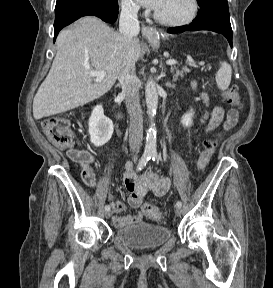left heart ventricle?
Wrapping results in <instances>:
<instances>
[{
  "mask_svg": "<svg viewBox=\"0 0 273 288\" xmlns=\"http://www.w3.org/2000/svg\"><path fill=\"white\" fill-rule=\"evenodd\" d=\"M161 17L179 20L187 17L192 11L191 0H161L155 10Z\"/></svg>",
  "mask_w": 273,
  "mask_h": 288,
  "instance_id": "b2bd125f",
  "label": "left heart ventricle"
}]
</instances>
